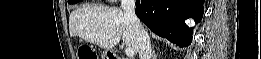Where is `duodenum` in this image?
<instances>
[{
  "label": "duodenum",
  "mask_w": 261,
  "mask_h": 59,
  "mask_svg": "<svg viewBox=\"0 0 261 59\" xmlns=\"http://www.w3.org/2000/svg\"><path fill=\"white\" fill-rule=\"evenodd\" d=\"M111 59H121V57L117 56L116 54L111 53Z\"/></svg>",
  "instance_id": "duodenum-1"
}]
</instances>
